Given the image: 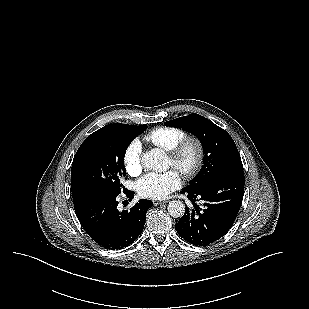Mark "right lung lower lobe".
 Instances as JSON below:
<instances>
[{"mask_svg":"<svg viewBox=\"0 0 309 309\" xmlns=\"http://www.w3.org/2000/svg\"><path fill=\"white\" fill-rule=\"evenodd\" d=\"M128 198L134 192L124 191ZM119 194H92L74 200L80 224L99 246L122 249L132 244L143 231L146 212L153 206L151 200L142 199L129 211L117 209Z\"/></svg>","mask_w":309,"mask_h":309,"instance_id":"obj_1","label":"right lung lower lobe"}]
</instances>
